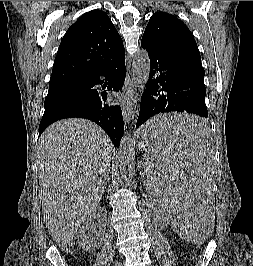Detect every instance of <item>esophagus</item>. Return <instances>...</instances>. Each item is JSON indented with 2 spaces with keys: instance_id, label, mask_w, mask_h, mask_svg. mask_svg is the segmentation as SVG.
Wrapping results in <instances>:
<instances>
[{
  "instance_id": "34e87169",
  "label": "esophagus",
  "mask_w": 253,
  "mask_h": 266,
  "mask_svg": "<svg viewBox=\"0 0 253 266\" xmlns=\"http://www.w3.org/2000/svg\"><path fill=\"white\" fill-rule=\"evenodd\" d=\"M133 88L134 85L131 76L127 74L124 84V91L126 93L125 95L128 96V98L132 94ZM134 113V104L131 102L130 98L126 101H123L122 115L126 124H129L130 121L133 119Z\"/></svg>"
}]
</instances>
